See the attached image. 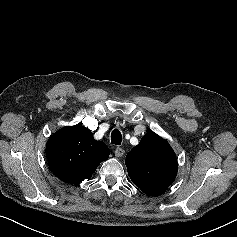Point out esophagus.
Wrapping results in <instances>:
<instances>
[{
  "label": "esophagus",
  "instance_id": "34e87169",
  "mask_svg": "<svg viewBox=\"0 0 237 237\" xmlns=\"http://www.w3.org/2000/svg\"><path fill=\"white\" fill-rule=\"evenodd\" d=\"M116 157H122L125 153L124 149L121 147H117L114 151Z\"/></svg>",
  "mask_w": 237,
  "mask_h": 237
}]
</instances>
